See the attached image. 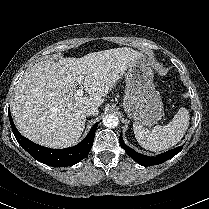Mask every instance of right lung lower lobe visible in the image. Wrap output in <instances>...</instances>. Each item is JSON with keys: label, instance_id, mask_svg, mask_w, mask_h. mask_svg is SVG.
<instances>
[{"label": "right lung lower lobe", "instance_id": "1", "mask_svg": "<svg viewBox=\"0 0 209 209\" xmlns=\"http://www.w3.org/2000/svg\"><path fill=\"white\" fill-rule=\"evenodd\" d=\"M12 131L18 143L37 161L54 167H67L84 159L92 148L98 123H95L88 135L76 146L67 149H50L33 143L23 137L17 130L12 120L10 110L8 111Z\"/></svg>", "mask_w": 209, "mask_h": 209}]
</instances>
